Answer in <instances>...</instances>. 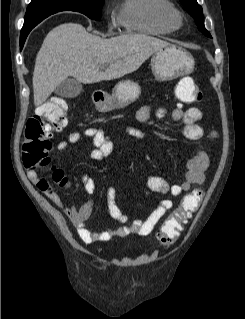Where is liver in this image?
<instances>
[{
  "mask_svg": "<svg viewBox=\"0 0 245 319\" xmlns=\"http://www.w3.org/2000/svg\"><path fill=\"white\" fill-rule=\"evenodd\" d=\"M169 43L141 33L103 39L78 23H64L45 37L33 72L34 104L44 103L68 77L92 84L136 71L153 53ZM105 64L107 69L100 71Z\"/></svg>",
  "mask_w": 245,
  "mask_h": 319,
  "instance_id": "liver-1",
  "label": "liver"
}]
</instances>
